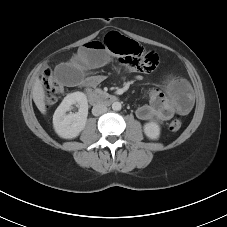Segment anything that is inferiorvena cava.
<instances>
[{"label":"inferior vena cava","instance_id":"obj_1","mask_svg":"<svg viewBox=\"0 0 227 227\" xmlns=\"http://www.w3.org/2000/svg\"><path fill=\"white\" fill-rule=\"evenodd\" d=\"M107 111V107L102 104L94 105L92 108V114L94 116H99Z\"/></svg>","mask_w":227,"mask_h":227}]
</instances>
